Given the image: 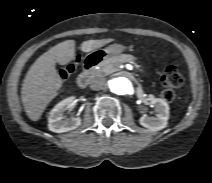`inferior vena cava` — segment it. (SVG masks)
<instances>
[{"label": "inferior vena cava", "mask_w": 212, "mask_h": 183, "mask_svg": "<svg viewBox=\"0 0 212 183\" xmlns=\"http://www.w3.org/2000/svg\"><path fill=\"white\" fill-rule=\"evenodd\" d=\"M104 86V80L102 78H94L91 80L90 88L92 90H100Z\"/></svg>", "instance_id": "602c4592"}]
</instances>
